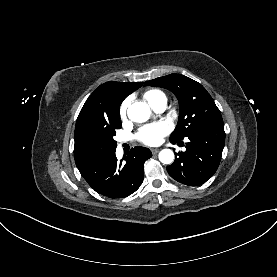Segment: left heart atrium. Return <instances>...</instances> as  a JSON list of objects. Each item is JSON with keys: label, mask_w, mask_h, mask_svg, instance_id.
Wrapping results in <instances>:
<instances>
[{"label": "left heart atrium", "mask_w": 277, "mask_h": 277, "mask_svg": "<svg viewBox=\"0 0 277 277\" xmlns=\"http://www.w3.org/2000/svg\"><path fill=\"white\" fill-rule=\"evenodd\" d=\"M170 130L171 126L167 122L160 121L143 127L138 133V139L150 146L158 145Z\"/></svg>", "instance_id": "left-heart-atrium-1"}]
</instances>
